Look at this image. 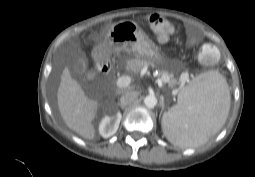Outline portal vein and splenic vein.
Listing matches in <instances>:
<instances>
[{
  "label": "portal vein and splenic vein",
  "instance_id": "1",
  "mask_svg": "<svg viewBox=\"0 0 255 177\" xmlns=\"http://www.w3.org/2000/svg\"><path fill=\"white\" fill-rule=\"evenodd\" d=\"M131 80L132 79L130 76H121L120 78L117 79L116 85L119 88H125L130 85ZM158 84L161 85V81ZM174 92L176 93V92H178V90H175Z\"/></svg>",
  "mask_w": 255,
  "mask_h": 177
}]
</instances>
